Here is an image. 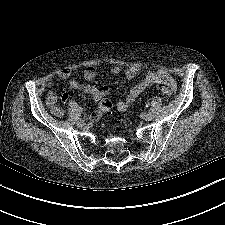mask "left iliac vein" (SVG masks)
<instances>
[{
  "instance_id": "1",
  "label": "left iliac vein",
  "mask_w": 225,
  "mask_h": 225,
  "mask_svg": "<svg viewBox=\"0 0 225 225\" xmlns=\"http://www.w3.org/2000/svg\"><path fill=\"white\" fill-rule=\"evenodd\" d=\"M153 117H154L153 113H152V112H148V113H146V114L144 115V120L150 121V120L153 119Z\"/></svg>"
}]
</instances>
